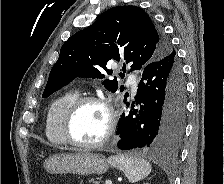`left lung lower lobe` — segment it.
Returning a JSON list of instances; mask_svg holds the SVG:
<instances>
[{
  "instance_id": "left-lung-lower-lobe-1",
  "label": "left lung lower lobe",
  "mask_w": 224,
  "mask_h": 184,
  "mask_svg": "<svg viewBox=\"0 0 224 184\" xmlns=\"http://www.w3.org/2000/svg\"><path fill=\"white\" fill-rule=\"evenodd\" d=\"M141 74L132 110L124 111L119 119L118 148L144 147L169 154L180 143L186 112V86L176 52L148 64ZM127 97L128 94L124 97L125 103ZM134 104L140 107L133 109Z\"/></svg>"
}]
</instances>
